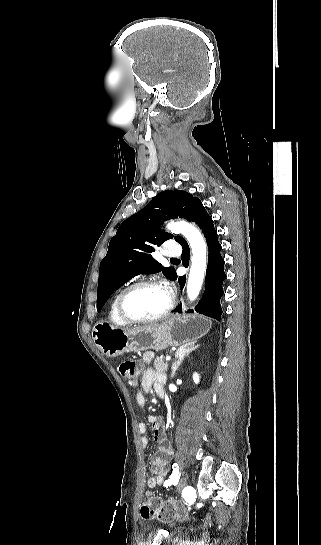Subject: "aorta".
Returning <instances> with one entry per match:
<instances>
[{"label": "aorta", "mask_w": 321, "mask_h": 545, "mask_svg": "<svg viewBox=\"0 0 321 545\" xmlns=\"http://www.w3.org/2000/svg\"><path fill=\"white\" fill-rule=\"evenodd\" d=\"M167 228L175 234L181 233L188 241L191 250V267L187 281L188 298L193 301L200 293L207 267V245L200 231L185 221L172 222Z\"/></svg>", "instance_id": "762f6f07"}]
</instances>
